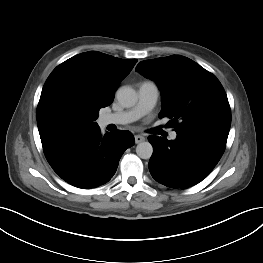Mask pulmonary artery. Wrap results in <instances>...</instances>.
Wrapping results in <instances>:
<instances>
[{"instance_id":"obj_1","label":"pulmonary artery","mask_w":263,"mask_h":263,"mask_svg":"<svg viewBox=\"0 0 263 263\" xmlns=\"http://www.w3.org/2000/svg\"><path fill=\"white\" fill-rule=\"evenodd\" d=\"M159 96V89L155 82L144 81L138 87L137 104L126 111L105 114L100 118L103 125H124L138 120L149 112L156 104ZM177 134L172 132L170 137L175 139Z\"/></svg>"}]
</instances>
